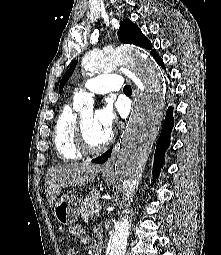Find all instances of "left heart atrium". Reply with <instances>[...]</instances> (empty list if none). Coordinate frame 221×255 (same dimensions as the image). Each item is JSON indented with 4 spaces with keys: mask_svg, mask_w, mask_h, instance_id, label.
<instances>
[{
    "mask_svg": "<svg viewBox=\"0 0 221 255\" xmlns=\"http://www.w3.org/2000/svg\"><path fill=\"white\" fill-rule=\"evenodd\" d=\"M97 123L108 133L116 122V114L111 105L107 104L95 113Z\"/></svg>",
    "mask_w": 221,
    "mask_h": 255,
    "instance_id": "obj_1",
    "label": "left heart atrium"
}]
</instances>
